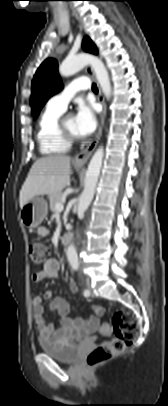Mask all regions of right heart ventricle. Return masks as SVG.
I'll return each mask as SVG.
<instances>
[{
	"label": "right heart ventricle",
	"mask_w": 168,
	"mask_h": 406,
	"mask_svg": "<svg viewBox=\"0 0 168 406\" xmlns=\"http://www.w3.org/2000/svg\"><path fill=\"white\" fill-rule=\"evenodd\" d=\"M63 112L47 105L40 116L36 139L39 150L44 155L65 153L70 148V143L60 135L58 130V120Z\"/></svg>",
	"instance_id": "1"
}]
</instances>
